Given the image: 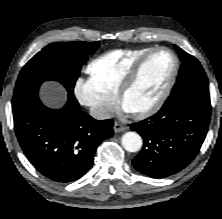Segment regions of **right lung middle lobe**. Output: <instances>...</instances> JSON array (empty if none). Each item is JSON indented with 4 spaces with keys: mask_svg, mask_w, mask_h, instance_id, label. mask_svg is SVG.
<instances>
[{
    "mask_svg": "<svg viewBox=\"0 0 222 219\" xmlns=\"http://www.w3.org/2000/svg\"><path fill=\"white\" fill-rule=\"evenodd\" d=\"M100 46L99 42H55L44 47L22 68L12 106L38 97L42 82L55 80L73 91L82 65Z\"/></svg>",
    "mask_w": 222,
    "mask_h": 219,
    "instance_id": "dd1d6c3e",
    "label": "right lung middle lobe"
}]
</instances>
